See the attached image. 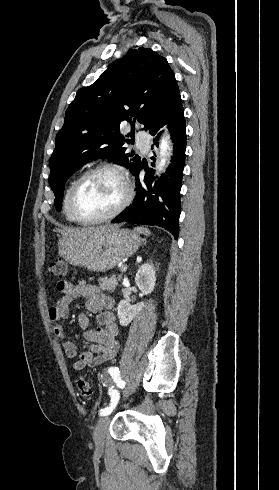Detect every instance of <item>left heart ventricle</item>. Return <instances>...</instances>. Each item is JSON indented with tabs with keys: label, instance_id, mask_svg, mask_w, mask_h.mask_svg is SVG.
Listing matches in <instances>:
<instances>
[{
	"label": "left heart ventricle",
	"instance_id": "1",
	"mask_svg": "<svg viewBox=\"0 0 279 490\" xmlns=\"http://www.w3.org/2000/svg\"><path fill=\"white\" fill-rule=\"evenodd\" d=\"M124 194V186L116 175L96 174L84 183L77 197L78 216L85 220L103 216L115 209Z\"/></svg>",
	"mask_w": 279,
	"mask_h": 490
}]
</instances>
